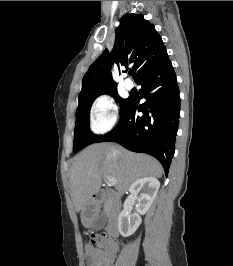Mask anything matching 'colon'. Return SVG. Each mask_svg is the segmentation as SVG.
Instances as JSON below:
<instances>
[{
	"mask_svg": "<svg viewBox=\"0 0 233 266\" xmlns=\"http://www.w3.org/2000/svg\"><path fill=\"white\" fill-rule=\"evenodd\" d=\"M108 238L105 234H92L88 240V243L93 246L99 245L101 242L105 241Z\"/></svg>",
	"mask_w": 233,
	"mask_h": 266,
	"instance_id": "1",
	"label": "colon"
}]
</instances>
